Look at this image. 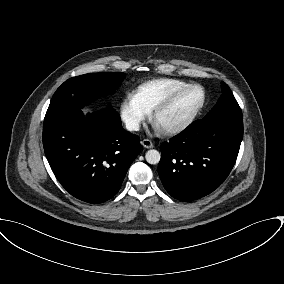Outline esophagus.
I'll return each mask as SVG.
<instances>
[{"label":"esophagus","instance_id":"34e87169","mask_svg":"<svg viewBox=\"0 0 284 284\" xmlns=\"http://www.w3.org/2000/svg\"><path fill=\"white\" fill-rule=\"evenodd\" d=\"M141 144H142L143 147H145L147 149L153 148V146H154L153 142L151 140H149V139H143L141 141Z\"/></svg>","mask_w":284,"mask_h":284}]
</instances>
